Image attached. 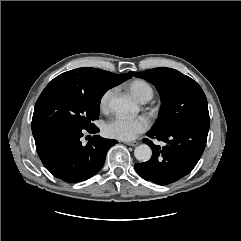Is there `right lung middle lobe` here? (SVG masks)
I'll list each match as a JSON object with an SVG mask.
<instances>
[{
	"instance_id": "dd1d6c3e",
	"label": "right lung middle lobe",
	"mask_w": 241,
	"mask_h": 241,
	"mask_svg": "<svg viewBox=\"0 0 241 241\" xmlns=\"http://www.w3.org/2000/svg\"><path fill=\"white\" fill-rule=\"evenodd\" d=\"M105 92L106 89L84 92L65 85H48L35 104L32 130L53 125L94 128L92 121L98 119Z\"/></svg>"
}]
</instances>
